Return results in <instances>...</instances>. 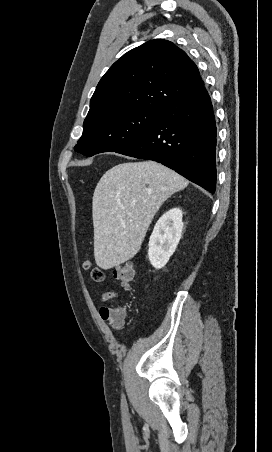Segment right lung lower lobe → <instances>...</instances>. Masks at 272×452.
<instances>
[{"label": "right lung lower lobe", "mask_w": 272, "mask_h": 452, "mask_svg": "<svg viewBox=\"0 0 272 452\" xmlns=\"http://www.w3.org/2000/svg\"><path fill=\"white\" fill-rule=\"evenodd\" d=\"M216 136L211 99L203 86L117 153L162 163L213 194Z\"/></svg>", "instance_id": "1"}]
</instances>
